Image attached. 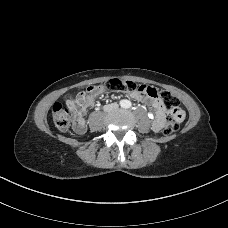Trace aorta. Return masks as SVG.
Returning a JSON list of instances; mask_svg holds the SVG:
<instances>
[{
	"label": "aorta",
	"instance_id": "obj_1",
	"mask_svg": "<svg viewBox=\"0 0 228 228\" xmlns=\"http://www.w3.org/2000/svg\"><path fill=\"white\" fill-rule=\"evenodd\" d=\"M122 106L124 108H129V107H131V102L129 100H124L122 103Z\"/></svg>",
	"mask_w": 228,
	"mask_h": 228
}]
</instances>
